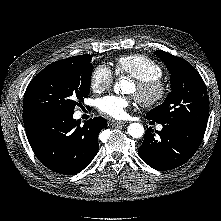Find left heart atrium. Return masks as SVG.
Segmentation results:
<instances>
[{"mask_svg":"<svg viewBox=\"0 0 221 221\" xmlns=\"http://www.w3.org/2000/svg\"><path fill=\"white\" fill-rule=\"evenodd\" d=\"M129 106L130 101L128 98L114 95L103 97L98 102L99 110L115 119L125 118Z\"/></svg>","mask_w":221,"mask_h":221,"instance_id":"left-heart-atrium-1","label":"left heart atrium"}]
</instances>
